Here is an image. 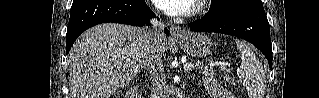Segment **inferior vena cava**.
Listing matches in <instances>:
<instances>
[{
  "label": "inferior vena cava",
  "mask_w": 319,
  "mask_h": 98,
  "mask_svg": "<svg viewBox=\"0 0 319 98\" xmlns=\"http://www.w3.org/2000/svg\"><path fill=\"white\" fill-rule=\"evenodd\" d=\"M152 27L146 29L149 38L147 67L152 84L151 98H168V86L162 63L161 43L165 38L162 26L157 20H151Z\"/></svg>",
  "instance_id": "inferior-vena-cava-1"
}]
</instances>
